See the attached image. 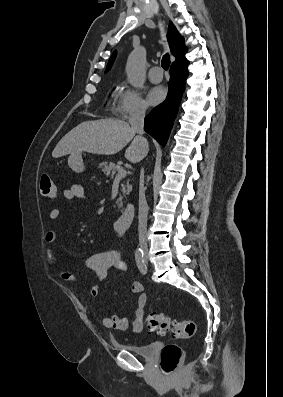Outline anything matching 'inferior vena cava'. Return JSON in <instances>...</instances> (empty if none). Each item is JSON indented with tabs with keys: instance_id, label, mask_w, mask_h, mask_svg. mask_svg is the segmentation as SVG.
I'll list each match as a JSON object with an SVG mask.
<instances>
[{
	"instance_id": "inferior-vena-cava-1",
	"label": "inferior vena cava",
	"mask_w": 283,
	"mask_h": 397,
	"mask_svg": "<svg viewBox=\"0 0 283 397\" xmlns=\"http://www.w3.org/2000/svg\"><path fill=\"white\" fill-rule=\"evenodd\" d=\"M145 112L141 107L135 109L129 118V123L131 128L142 137L144 134L143 124H144ZM145 140V139H144ZM144 170L141 169L140 173V189H139V213H138V233H139V244L142 249H147V217H148V206L145 198V192L143 187Z\"/></svg>"
}]
</instances>
